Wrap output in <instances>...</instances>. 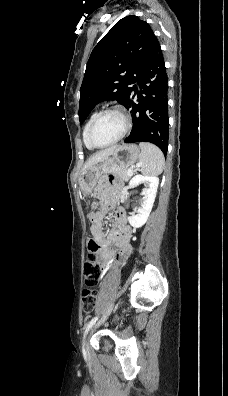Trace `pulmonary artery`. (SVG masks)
I'll list each match as a JSON object with an SVG mask.
<instances>
[{"label": "pulmonary artery", "mask_w": 228, "mask_h": 396, "mask_svg": "<svg viewBox=\"0 0 228 396\" xmlns=\"http://www.w3.org/2000/svg\"><path fill=\"white\" fill-rule=\"evenodd\" d=\"M136 87H137V88L139 87L137 83H136Z\"/></svg>", "instance_id": "1"}]
</instances>
